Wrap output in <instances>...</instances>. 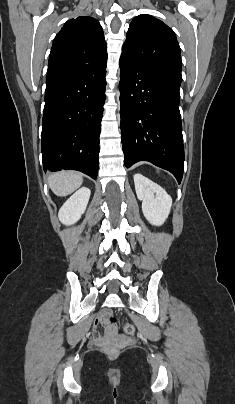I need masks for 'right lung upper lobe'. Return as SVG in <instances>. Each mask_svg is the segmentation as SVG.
Instances as JSON below:
<instances>
[{"instance_id":"1","label":"right lung upper lobe","mask_w":235,"mask_h":404,"mask_svg":"<svg viewBox=\"0 0 235 404\" xmlns=\"http://www.w3.org/2000/svg\"><path fill=\"white\" fill-rule=\"evenodd\" d=\"M107 61L104 33L99 22L89 16L68 20L56 35L48 61L47 74Z\"/></svg>"}]
</instances>
